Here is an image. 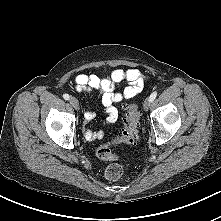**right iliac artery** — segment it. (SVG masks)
<instances>
[{
  "label": "right iliac artery",
  "mask_w": 221,
  "mask_h": 221,
  "mask_svg": "<svg viewBox=\"0 0 221 221\" xmlns=\"http://www.w3.org/2000/svg\"><path fill=\"white\" fill-rule=\"evenodd\" d=\"M63 98H64L65 100H69L70 96H69L68 94H64V95H63Z\"/></svg>",
  "instance_id": "right-iliac-artery-1"
}]
</instances>
